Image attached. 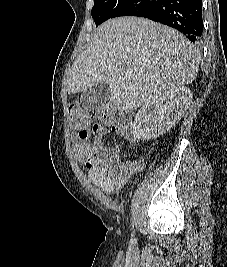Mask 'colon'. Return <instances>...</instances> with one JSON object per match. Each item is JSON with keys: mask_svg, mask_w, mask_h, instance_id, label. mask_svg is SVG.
<instances>
[{"mask_svg": "<svg viewBox=\"0 0 227 267\" xmlns=\"http://www.w3.org/2000/svg\"><path fill=\"white\" fill-rule=\"evenodd\" d=\"M99 120L106 126H114L116 123L115 113L111 106H105L97 110ZM69 118L73 127L82 129L89 126V113L78 104L69 107ZM126 128V125H124Z\"/></svg>", "mask_w": 227, "mask_h": 267, "instance_id": "5ec220e1", "label": "colon"}]
</instances>
